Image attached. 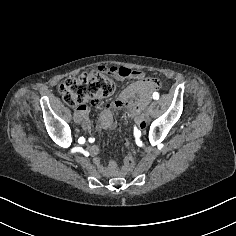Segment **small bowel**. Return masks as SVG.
Returning a JSON list of instances; mask_svg holds the SVG:
<instances>
[{"label":"small bowel","mask_w":236,"mask_h":236,"mask_svg":"<svg viewBox=\"0 0 236 236\" xmlns=\"http://www.w3.org/2000/svg\"><path fill=\"white\" fill-rule=\"evenodd\" d=\"M132 71V70H131ZM120 78H131L134 81L128 84L120 93L119 97L112 103H107L102 110L97 129L100 131L110 129L114 126L113 110L127 108L128 115L136 121L137 124L142 126L143 111L148 104L151 92L159 87V82L153 78H147L143 72L132 71V76ZM137 97L136 100L134 98ZM99 101L92 100L91 104L96 105ZM90 106L88 104H81L76 108L75 118L86 131H91V123L89 120ZM91 145L88 150L92 156L99 153V147L94 144V139L90 138ZM96 167L106 176H118L123 173L124 167L119 168L114 162L104 164L99 158L94 160Z\"/></svg>","instance_id":"obj_1"}]
</instances>
